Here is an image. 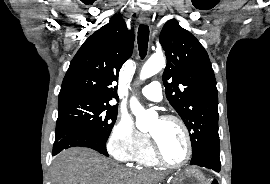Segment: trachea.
I'll return each mask as SVG.
<instances>
[{
    "instance_id": "obj_1",
    "label": "trachea",
    "mask_w": 270,
    "mask_h": 184,
    "mask_svg": "<svg viewBox=\"0 0 270 184\" xmlns=\"http://www.w3.org/2000/svg\"><path fill=\"white\" fill-rule=\"evenodd\" d=\"M149 41V27L141 24L138 28V46L141 58H144L147 53Z\"/></svg>"
}]
</instances>
